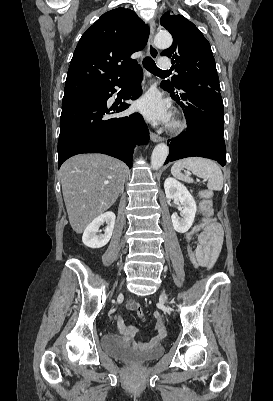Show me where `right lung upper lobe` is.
<instances>
[{"mask_svg": "<svg viewBox=\"0 0 273 401\" xmlns=\"http://www.w3.org/2000/svg\"><path fill=\"white\" fill-rule=\"evenodd\" d=\"M149 32L130 9L116 8L103 14L77 44L64 97L94 93L125 78L136 63L131 54L144 48Z\"/></svg>", "mask_w": 273, "mask_h": 401, "instance_id": "cb5924a9", "label": "right lung upper lobe"}]
</instances>
